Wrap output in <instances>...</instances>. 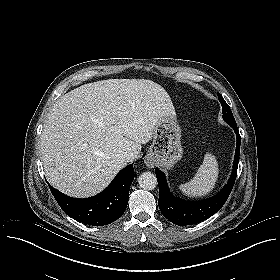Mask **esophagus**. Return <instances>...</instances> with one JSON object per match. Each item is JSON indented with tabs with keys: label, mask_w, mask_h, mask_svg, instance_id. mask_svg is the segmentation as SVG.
<instances>
[{
	"label": "esophagus",
	"mask_w": 280,
	"mask_h": 280,
	"mask_svg": "<svg viewBox=\"0 0 280 280\" xmlns=\"http://www.w3.org/2000/svg\"><path fill=\"white\" fill-rule=\"evenodd\" d=\"M144 162H145V164L149 167V168H153L154 166H155V160L151 157V156H149V155H147L146 157H145V160H144Z\"/></svg>",
	"instance_id": "1"
}]
</instances>
